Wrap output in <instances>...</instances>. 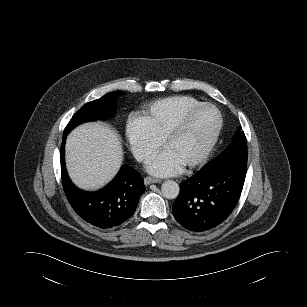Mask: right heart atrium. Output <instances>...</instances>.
<instances>
[{"mask_svg": "<svg viewBox=\"0 0 307 307\" xmlns=\"http://www.w3.org/2000/svg\"><path fill=\"white\" fill-rule=\"evenodd\" d=\"M126 139L131 152L141 162L149 161L161 145V140L151 132L142 117L128 120Z\"/></svg>", "mask_w": 307, "mask_h": 307, "instance_id": "obj_1", "label": "right heart atrium"}]
</instances>
